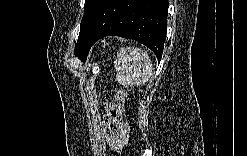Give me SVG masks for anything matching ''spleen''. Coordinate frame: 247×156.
Instances as JSON below:
<instances>
[{
  "label": "spleen",
  "mask_w": 247,
  "mask_h": 156,
  "mask_svg": "<svg viewBox=\"0 0 247 156\" xmlns=\"http://www.w3.org/2000/svg\"><path fill=\"white\" fill-rule=\"evenodd\" d=\"M117 81L123 86H138L152 76V61L147 52L136 47H123L114 62Z\"/></svg>",
  "instance_id": "3e777b00"
}]
</instances>
